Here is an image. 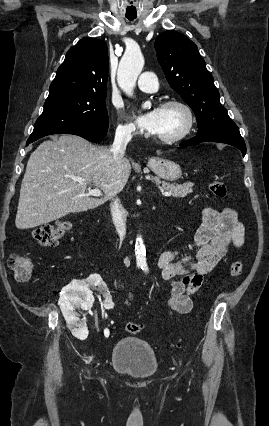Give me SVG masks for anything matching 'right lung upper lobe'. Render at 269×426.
I'll use <instances>...</instances> for the list:
<instances>
[{"label": "right lung upper lobe", "instance_id": "obj_1", "mask_svg": "<svg viewBox=\"0 0 269 426\" xmlns=\"http://www.w3.org/2000/svg\"><path fill=\"white\" fill-rule=\"evenodd\" d=\"M107 77L106 43L95 38H83L68 50L50 85L49 93L76 91L105 94Z\"/></svg>", "mask_w": 269, "mask_h": 426}]
</instances>
